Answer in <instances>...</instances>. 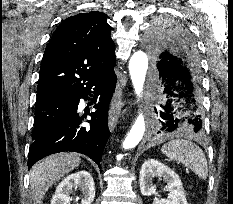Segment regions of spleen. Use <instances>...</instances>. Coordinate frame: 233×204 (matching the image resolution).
<instances>
[{
	"mask_svg": "<svg viewBox=\"0 0 233 204\" xmlns=\"http://www.w3.org/2000/svg\"><path fill=\"white\" fill-rule=\"evenodd\" d=\"M161 151L170 160L178 161L191 169L199 179H207V160L203 151L195 143L187 139H173L164 144Z\"/></svg>",
	"mask_w": 233,
	"mask_h": 204,
	"instance_id": "obj_1",
	"label": "spleen"
}]
</instances>
